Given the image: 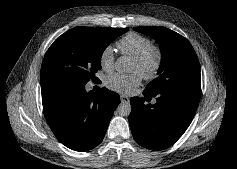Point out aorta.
Instances as JSON below:
<instances>
[{
  "mask_svg": "<svg viewBox=\"0 0 237 169\" xmlns=\"http://www.w3.org/2000/svg\"><path fill=\"white\" fill-rule=\"evenodd\" d=\"M114 67L119 73H128L131 70V63L127 57L122 56L115 61ZM131 110L132 107L128 101H122L117 107L118 114L123 117L129 116Z\"/></svg>",
  "mask_w": 237,
  "mask_h": 169,
  "instance_id": "obj_1",
  "label": "aorta"
}]
</instances>
